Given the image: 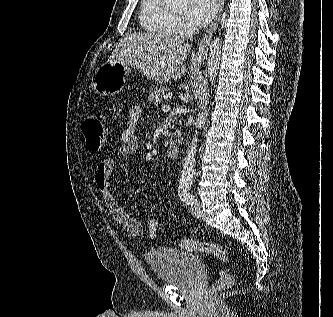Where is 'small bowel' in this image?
Listing matches in <instances>:
<instances>
[{"mask_svg":"<svg viewBox=\"0 0 333 317\" xmlns=\"http://www.w3.org/2000/svg\"><path fill=\"white\" fill-rule=\"evenodd\" d=\"M142 115V107L135 104L128 111L127 125L119 137V154L128 157L138 149L135 135L137 122ZM115 169L113 158L102 160L96 167L95 184L112 218L129 234L139 236L144 232V224L126 212L110 189V181Z\"/></svg>","mask_w":333,"mask_h":317,"instance_id":"c3829d8e","label":"small bowel"}]
</instances>
